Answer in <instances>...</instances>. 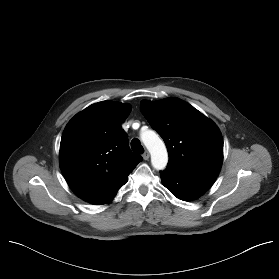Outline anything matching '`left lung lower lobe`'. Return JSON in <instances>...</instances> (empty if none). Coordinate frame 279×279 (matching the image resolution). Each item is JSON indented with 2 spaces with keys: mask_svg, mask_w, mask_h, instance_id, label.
<instances>
[{
  "mask_svg": "<svg viewBox=\"0 0 279 279\" xmlns=\"http://www.w3.org/2000/svg\"><path fill=\"white\" fill-rule=\"evenodd\" d=\"M163 185L180 200H193L205 193L216 178L185 174L170 168L160 172Z\"/></svg>",
  "mask_w": 279,
  "mask_h": 279,
  "instance_id": "obj_1",
  "label": "left lung lower lobe"
}]
</instances>
